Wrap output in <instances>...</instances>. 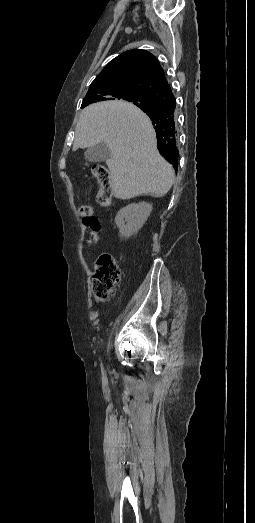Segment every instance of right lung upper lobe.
Wrapping results in <instances>:
<instances>
[{
	"label": "right lung upper lobe",
	"instance_id": "1",
	"mask_svg": "<svg viewBox=\"0 0 255 523\" xmlns=\"http://www.w3.org/2000/svg\"><path fill=\"white\" fill-rule=\"evenodd\" d=\"M127 89L146 92L152 99L149 107L141 102H133L145 112L157 137L158 149L162 156L175 169L178 166V149L175 138L176 101L164 71L154 55L148 51L134 49L126 51L110 61L91 83L82 107L91 103L108 100L104 96H113Z\"/></svg>",
	"mask_w": 255,
	"mask_h": 523
}]
</instances>
